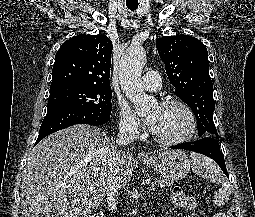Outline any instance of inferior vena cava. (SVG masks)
<instances>
[{"label":"inferior vena cava","instance_id":"inferior-vena-cava-1","mask_svg":"<svg viewBox=\"0 0 255 217\" xmlns=\"http://www.w3.org/2000/svg\"><path fill=\"white\" fill-rule=\"evenodd\" d=\"M136 138V132L131 127L120 128L118 137L116 139V145L111 147V152L109 155V170H108V180L106 187V199L108 204V209L112 213L117 209V175L119 172V154L120 151H117V146H126L129 143L133 142Z\"/></svg>","mask_w":255,"mask_h":217}]
</instances>
